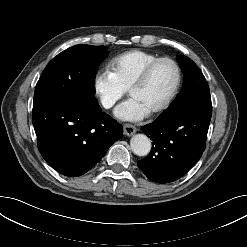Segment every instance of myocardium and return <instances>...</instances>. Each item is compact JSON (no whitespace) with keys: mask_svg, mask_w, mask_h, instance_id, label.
Masks as SVG:
<instances>
[{"mask_svg":"<svg viewBox=\"0 0 247 247\" xmlns=\"http://www.w3.org/2000/svg\"><path fill=\"white\" fill-rule=\"evenodd\" d=\"M162 62H168L174 67L175 81H174L173 87L170 90V92L168 93V95L165 97V99L161 103H159L157 106H155L153 109L150 110L151 113H158V112L164 110L172 102V100L176 96V94L180 88L181 78H182L181 69H180V66L178 65V63L169 57H159V58L151 61L149 64H147L144 67V69L140 72V74L134 79V81L132 82L130 87L128 88V93L130 95L132 93V91H134L135 89L144 85L146 83V81L148 80L153 69L158 64H160Z\"/></svg>","mask_w":247,"mask_h":247,"instance_id":"f54148a6","label":"myocardium"}]
</instances>
